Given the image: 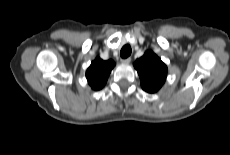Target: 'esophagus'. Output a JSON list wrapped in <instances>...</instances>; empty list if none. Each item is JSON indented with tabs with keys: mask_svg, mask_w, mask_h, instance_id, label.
I'll use <instances>...</instances> for the list:
<instances>
[{
	"mask_svg": "<svg viewBox=\"0 0 230 155\" xmlns=\"http://www.w3.org/2000/svg\"><path fill=\"white\" fill-rule=\"evenodd\" d=\"M121 62L124 63V64H128V63L131 62V58L128 57V58L122 59Z\"/></svg>",
	"mask_w": 230,
	"mask_h": 155,
	"instance_id": "34e87169",
	"label": "esophagus"
}]
</instances>
